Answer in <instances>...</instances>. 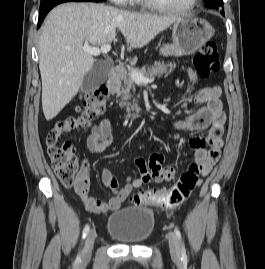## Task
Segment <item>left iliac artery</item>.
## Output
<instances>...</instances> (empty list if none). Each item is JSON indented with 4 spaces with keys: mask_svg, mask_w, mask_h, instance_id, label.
I'll list each match as a JSON object with an SVG mask.
<instances>
[{
    "mask_svg": "<svg viewBox=\"0 0 265 269\" xmlns=\"http://www.w3.org/2000/svg\"><path fill=\"white\" fill-rule=\"evenodd\" d=\"M174 233H175V235L177 236V238L179 239V241L181 243L182 260H187L186 250H185V247H184V244H183V241H182L181 233L177 228L174 229Z\"/></svg>",
    "mask_w": 265,
    "mask_h": 269,
    "instance_id": "1",
    "label": "left iliac artery"
}]
</instances>
